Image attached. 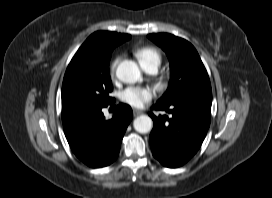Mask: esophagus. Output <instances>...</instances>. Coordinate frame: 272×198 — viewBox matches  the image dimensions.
<instances>
[{"label":"esophagus","mask_w":272,"mask_h":198,"mask_svg":"<svg viewBox=\"0 0 272 198\" xmlns=\"http://www.w3.org/2000/svg\"><path fill=\"white\" fill-rule=\"evenodd\" d=\"M133 114L135 117H137V116L143 114V112L141 110L133 109Z\"/></svg>","instance_id":"1"}]
</instances>
